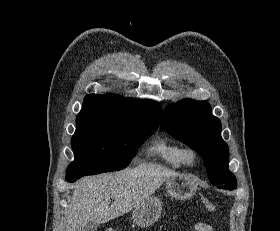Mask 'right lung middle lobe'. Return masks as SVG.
Wrapping results in <instances>:
<instances>
[{"instance_id": "right-lung-middle-lobe-1", "label": "right lung middle lobe", "mask_w": 280, "mask_h": 231, "mask_svg": "<svg viewBox=\"0 0 280 231\" xmlns=\"http://www.w3.org/2000/svg\"><path fill=\"white\" fill-rule=\"evenodd\" d=\"M156 129L112 118L76 119L71 140L75 160L66 174L93 175L124 169Z\"/></svg>"}]
</instances>
